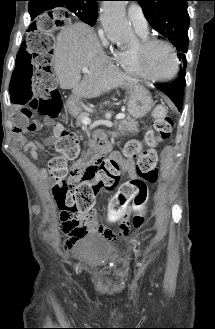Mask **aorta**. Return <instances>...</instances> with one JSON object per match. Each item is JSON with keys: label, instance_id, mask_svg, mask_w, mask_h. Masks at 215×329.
Listing matches in <instances>:
<instances>
[{"label": "aorta", "instance_id": "1", "mask_svg": "<svg viewBox=\"0 0 215 329\" xmlns=\"http://www.w3.org/2000/svg\"><path fill=\"white\" fill-rule=\"evenodd\" d=\"M127 1H105L101 12V23L107 36L114 42L130 44L133 30L125 17Z\"/></svg>", "mask_w": 215, "mask_h": 329}]
</instances>
